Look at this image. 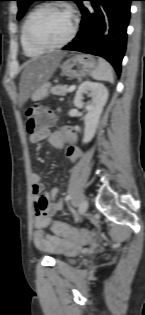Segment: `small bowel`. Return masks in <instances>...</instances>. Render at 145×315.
<instances>
[{"instance_id":"1","label":"small bowel","mask_w":145,"mask_h":315,"mask_svg":"<svg viewBox=\"0 0 145 315\" xmlns=\"http://www.w3.org/2000/svg\"><path fill=\"white\" fill-rule=\"evenodd\" d=\"M48 139L52 147L62 149L66 144V155L72 161L80 157V152L75 148L73 142L75 133L69 127H63L50 132L48 129L37 131L29 136L31 143H38ZM32 193L35 198L33 242L37 249L44 252L60 251L72 252L77 250L81 244L87 243L89 237L74 239L60 238L57 235H48L43 229L53 224V216L64 207L62 200L56 201L58 188L53 187L47 193H43V184L39 173H31Z\"/></svg>"}]
</instances>
